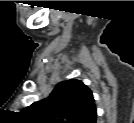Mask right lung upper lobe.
Returning <instances> with one entry per match:
<instances>
[{
  "label": "right lung upper lobe",
  "instance_id": "cb5924a9",
  "mask_svg": "<svg viewBox=\"0 0 134 123\" xmlns=\"http://www.w3.org/2000/svg\"><path fill=\"white\" fill-rule=\"evenodd\" d=\"M22 112L42 123H96L97 116L92 91L77 79L58 83L47 99Z\"/></svg>",
  "mask_w": 134,
  "mask_h": 123
}]
</instances>
